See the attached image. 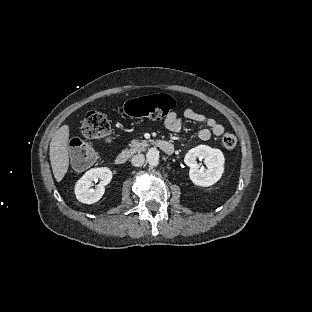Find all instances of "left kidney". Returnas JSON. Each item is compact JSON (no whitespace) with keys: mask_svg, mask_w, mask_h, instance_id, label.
I'll list each match as a JSON object with an SVG mask.
<instances>
[{"mask_svg":"<svg viewBox=\"0 0 312 312\" xmlns=\"http://www.w3.org/2000/svg\"><path fill=\"white\" fill-rule=\"evenodd\" d=\"M204 159L207 167L200 168L196 159ZM184 162L190 167L189 177L198 186L208 187L216 183L224 171V155L221 150L207 145H198L190 149L185 155Z\"/></svg>","mask_w":312,"mask_h":312,"instance_id":"5707ae66","label":"left kidney"}]
</instances>
